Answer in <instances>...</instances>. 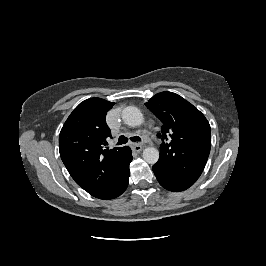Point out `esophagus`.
I'll use <instances>...</instances> for the list:
<instances>
[{
    "label": "esophagus",
    "mask_w": 266,
    "mask_h": 266,
    "mask_svg": "<svg viewBox=\"0 0 266 266\" xmlns=\"http://www.w3.org/2000/svg\"><path fill=\"white\" fill-rule=\"evenodd\" d=\"M132 149L135 152H140L143 149V145L142 144H139V143H133L132 144Z\"/></svg>",
    "instance_id": "esophagus-1"
}]
</instances>
